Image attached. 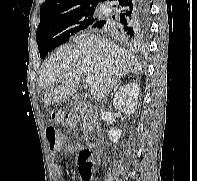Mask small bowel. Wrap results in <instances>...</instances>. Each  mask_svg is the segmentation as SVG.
Listing matches in <instances>:
<instances>
[{
  "instance_id": "1",
  "label": "small bowel",
  "mask_w": 197,
  "mask_h": 181,
  "mask_svg": "<svg viewBox=\"0 0 197 181\" xmlns=\"http://www.w3.org/2000/svg\"><path fill=\"white\" fill-rule=\"evenodd\" d=\"M80 149H81V145L80 144H67L64 147V152L66 154H71V153H74V152H76V151H78ZM60 150H61V148L58 151H54V150H52V151L55 153V152H59ZM54 170H55V175L57 177H61L62 176V169H61V166L59 164L55 165Z\"/></svg>"
}]
</instances>
